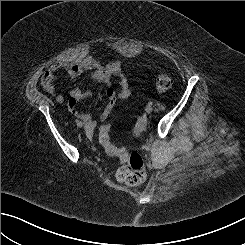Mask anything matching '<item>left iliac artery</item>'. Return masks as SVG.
Segmentation results:
<instances>
[{
    "mask_svg": "<svg viewBox=\"0 0 245 245\" xmlns=\"http://www.w3.org/2000/svg\"><path fill=\"white\" fill-rule=\"evenodd\" d=\"M153 103L152 102H149L148 105L151 106Z\"/></svg>",
    "mask_w": 245,
    "mask_h": 245,
    "instance_id": "44dca946",
    "label": "left iliac artery"
}]
</instances>
